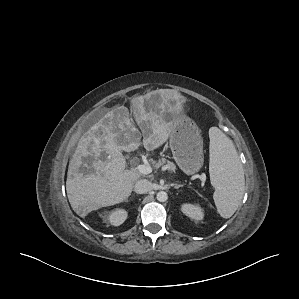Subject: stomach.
<instances>
[{"label":"stomach","instance_id":"1","mask_svg":"<svg viewBox=\"0 0 299 299\" xmlns=\"http://www.w3.org/2000/svg\"><path fill=\"white\" fill-rule=\"evenodd\" d=\"M171 122L169 144L173 158L185 174L193 175L204 162L200 129L184 113L176 115Z\"/></svg>","mask_w":299,"mask_h":299}]
</instances>
